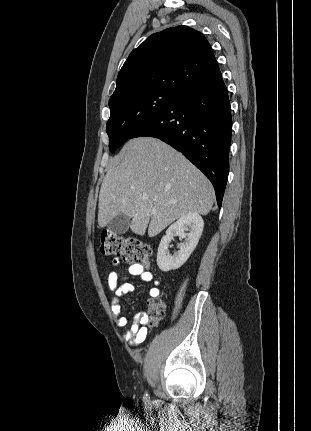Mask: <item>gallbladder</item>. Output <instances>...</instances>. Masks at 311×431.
Masks as SVG:
<instances>
[{
  "label": "gallbladder",
  "instance_id": "1",
  "mask_svg": "<svg viewBox=\"0 0 311 431\" xmlns=\"http://www.w3.org/2000/svg\"><path fill=\"white\" fill-rule=\"evenodd\" d=\"M130 225V217L124 216V214H118V216L113 217L108 223V229L114 231V233H125L128 231Z\"/></svg>",
  "mask_w": 311,
  "mask_h": 431
}]
</instances>
